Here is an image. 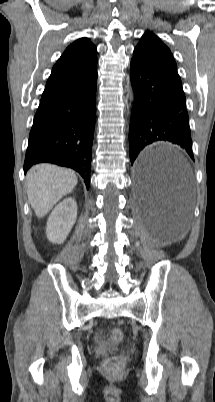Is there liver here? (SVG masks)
I'll return each mask as SVG.
<instances>
[{"instance_id":"1","label":"liver","mask_w":215,"mask_h":402,"mask_svg":"<svg viewBox=\"0 0 215 402\" xmlns=\"http://www.w3.org/2000/svg\"><path fill=\"white\" fill-rule=\"evenodd\" d=\"M73 170L52 164L33 166L26 175L29 203L38 218H43L53 206L77 185Z\"/></svg>"}]
</instances>
